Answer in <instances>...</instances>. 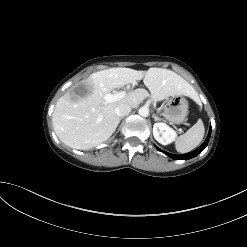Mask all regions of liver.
Wrapping results in <instances>:
<instances>
[{
    "label": "liver",
    "instance_id": "1",
    "mask_svg": "<svg viewBox=\"0 0 247 247\" xmlns=\"http://www.w3.org/2000/svg\"><path fill=\"white\" fill-rule=\"evenodd\" d=\"M142 79L154 101L178 95L196 97L192 86L168 69L153 67L147 71H137L130 68H109L98 71L85 80L89 90L85 96L74 97V92L69 90L57 101L52 123L58 138L76 149H90L109 139L120 122L115 113L116 107L126 103L135 108L149 93L138 88L123 99L111 103H106L103 96Z\"/></svg>",
    "mask_w": 247,
    "mask_h": 247
}]
</instances>
